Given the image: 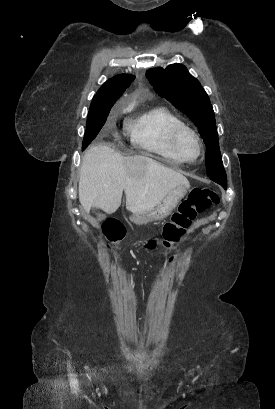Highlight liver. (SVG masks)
Instances as JSON below:
<instances>
[{
  "label": "liver",
  "instance_id": "1",
  "mask_svg": "<svg viewBox=\"0 0 275 409\" xmlns=\"http://www.w3.org/2000/svg\"><path fill=\"white\" fill-rule=\"evenodd\" d=\"M178 184L189 186V180L157 160L141 154L122 156L111 146L98 144L88 148L82 158L79 200L86 213L96 207L111 215L119 209L124 190L126 209L143 215Z\"/></svg>",
  "mask_w": 275,
  "mask_h": 409
}]
</instances>
